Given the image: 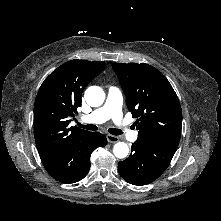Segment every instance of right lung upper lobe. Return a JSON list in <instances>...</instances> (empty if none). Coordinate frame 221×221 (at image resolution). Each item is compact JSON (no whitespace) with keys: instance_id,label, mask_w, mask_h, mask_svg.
<instances>
[{"instance_id":"cb5924a9","label":"right lung upper lobe","mask_w":221,"mask_h":221,"mask_svg":"<svg viewBox=\"0 0 221 221\" xmlns=\"http://www.w3.org/2000/svg\"><path fill=\"white\" fill-rule=\"evenodd\" d=\"M105 63L71 60L55 69L42 83L34 105V133L43 163L50 161L69 145L88 134L69 127L71 117L81 106V94Z\"/></svg>"}]
</instances>
